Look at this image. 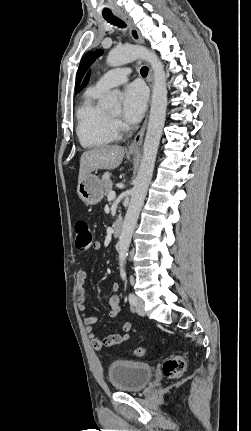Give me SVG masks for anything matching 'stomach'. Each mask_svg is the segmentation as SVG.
I'll return each instance as SVG.
<instances>
[{"label": "stomach", "mask_w": 251, "mask_h": 431, "mask_svg": "<svg viewBox=\"0 0 251 431\" xmlns=\"http://www.w3.org/2000/svg\"><path fill=\"white\" fill-rule=\"evenodd\" d=\"M131 154H135L131 152ZM77 193L79 198L87 205H95L103 198V182L94 174H89L78 183Z\"/></svg>", "instance_id": "0dacf381"}]
</instances>
